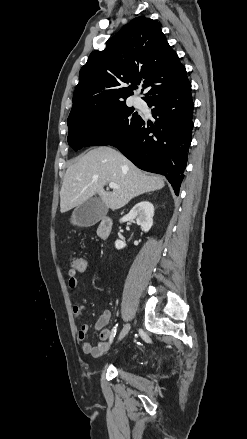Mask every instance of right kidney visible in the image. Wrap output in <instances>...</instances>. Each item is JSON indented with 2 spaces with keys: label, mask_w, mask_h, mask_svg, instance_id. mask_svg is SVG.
<instances>
[{
  "label": "right kidney",
  "mask_w": 247,
  "mask_h": 439,
  "mask_svg": "<svg viewBox=\"0 0 247 439\" xmlns=\"http://www.w3.org/2000/svg\"><path fill=\"white\" fill-rule=\"evenodd\" d=\"M154 206L148 201H142L136 204L130 212L120 219V222H126L128 220H135L137 225L148 232L153 225ZM126 244L120 240L115 241V247L122 249Z\"/></svg>",
  "instance_id": "1"
}]
</instances>
